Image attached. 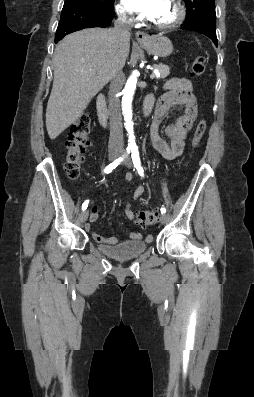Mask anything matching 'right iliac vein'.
<instances>
[{
    "instance_id": "63e3f726",
    "label": "right iliac vein",
    "mask_w": 254,
    "mask_h": 397,
    "mask_svg": "<svg viewBox=\"0 0 254 397\" xmlns=\"http://www.w3.org/2000/svg\"><path fill=\"white\" fill-rule=\"evenodd\" d=\"M118 156H119V153H117V152H112V153L109 154V160H110V161H114V160H116V159L118 158ZM88 215H89L88 210H84V211L82 212V214H81V216H80L81 223H85V222H86V220H87V218H88Z\"/></svg>"
}]
</instances>
